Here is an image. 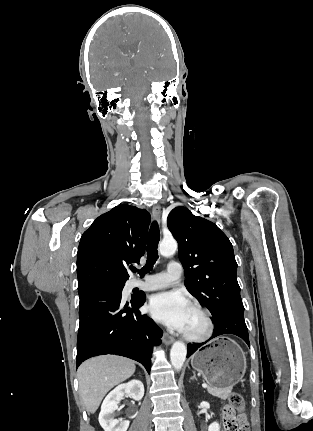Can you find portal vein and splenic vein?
I'll return each instance as SVG.
<instances>
[{
  "label": "portal vein and splenic vein",
  "instance_id": "obj_1",
  "mask_svg": "<svg viewBox=\"0 0 313 431\" xmlns=\"http://www.w3.org/2000/svg\"><path fill=\"white\" fill-rule=\"evenodd\" d=\"M202 387L203 388H208V385L204 383V384H202Z\"/></svg>",
  "mask_w": 313,
  "mask_h": 431
}]
</instances>
